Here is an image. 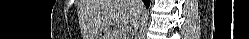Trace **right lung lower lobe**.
Here are the masks:
<instances>
[{"label": "right lung lower lobe", "mask_w": 249, "mask_h": 39, "mask_svg": "<svg viewBox=\"0 0 249 39\" xmlns=\"http://www.w3.org/2000/svg\"><path fill=\"white\" fill-rule=\"evenodd\" d=\"M144 1V4L147 6V7H149V5H150V0H143Z\"/></svg>", "instance_id": "98d812e1"}]
</instances>
